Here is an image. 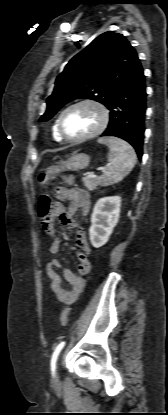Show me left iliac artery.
<instances>
[{
	"label": "left iliac artery",
	"instance_id": "obj_1",
	"mask_svg": "<svg viewBox=\"0 0 168 415\" xmlns=\"http://www.w3.org/2000/svg\"><path fill=\"white\" fill-rule=\"evenodd\" d=\"M64 345H65V341L60 342L57 345V347L55 348L54 352H53V355H52V358H51V370L53 372L55 370V365H56L57 357H58L60 351L62 350V348L64 347Z\"/></svg>",
	"mask_w": 168,
	"mask_h": 415
}]
</instances>
